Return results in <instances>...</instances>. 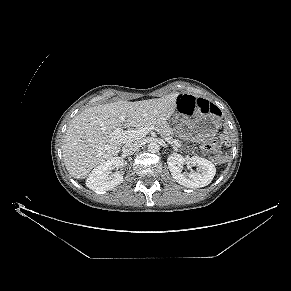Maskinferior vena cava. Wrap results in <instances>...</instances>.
I'll return each instance as SVG.
<instances>
[{
    "label": "inferior vena cava",
    "mask_w": 291,
    "mask_h": 291,
    "mask_svg": "<svg viewBox=\"0 0 291 291\" xmlns=\"http://www.w3.org/2000/svg\"><path fill=\"white\" fill-rule=\"evenodd\" d=\"M140 147L141 145L138 142L127 143L123 146L122 152L126 156L133 155L139 150Z\"/></svg>",
    "instance_id": "obj_1"
}]
</instances>
